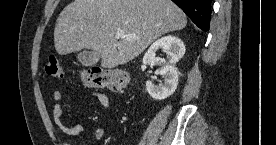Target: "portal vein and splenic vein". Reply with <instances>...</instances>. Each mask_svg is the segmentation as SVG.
<instances>
[{
  "mask_svg": "<svg viewBox=\"0 0 276 145\" xmlns=\"http://www.w3.org/2000/svg\"><path fill=\"white\" fill-rule=\"evenodd\" d=\"M116 37L117 38H126L128 40L136 39V37H133V36H130V35H125V33L122 30H117L116 31Z\"/></svg>",
  "mask_w": 276,
  "mask_h": 145,
  "instance_id": "18ae733b",
  "label": "portal vein and splenic vein"
}]
</instances>
